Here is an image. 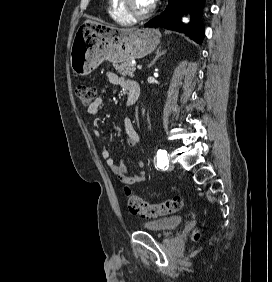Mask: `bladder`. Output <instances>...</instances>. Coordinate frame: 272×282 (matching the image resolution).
Returning a JSON list of instances; mask_svg holds the SVG:
<instances>
[{
  "mask_svg": "<svg viewBox=\"0 0 272 282\" xmlns=\"http://www.w3.org/2000/svg\"><path fill=\"white\" fill-rule=\"evenodd\" d=\"M183 219L182 215H173L156 221L146 222L142 225V228L150 232H165L179 226Z\"/></svg>",
  "mask_w": 272,
  "mask_h": 282,
  "instance_id": "1",
  "label": "bladder"
}]
</instances>
